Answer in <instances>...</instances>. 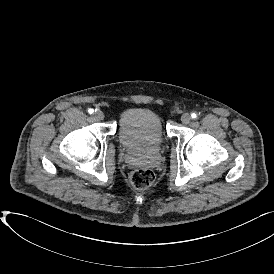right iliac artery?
Here are the masks:
<instances>
[{
	"instance_id": "1",
	"label": "right iliac artery",
	"mask_w": 274,
	"mask_h": 274,
	"mask_svg": "<svg viewBox=\"0 0 274 274\" xmlns=\"http://www.w3.org/2000/svg\"><path fill=\"white\" fill-rule=\"evenodd\" d=\"M88 112H89V114H93V113H94V110H93L92 108H90V109L88 110Z\"/></svg>"
}]
</instances>
